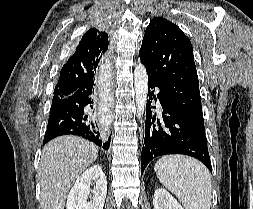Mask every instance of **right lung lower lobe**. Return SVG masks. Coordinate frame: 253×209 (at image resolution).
Returning <instances> with one entry per match:
<instances>
[{
  "label": "right lung lower lobe",
  "instance_id": "98d812e1",
  "mask_svg": "<svg viewBox=\"0 0 253 209\" xmlns=\"http://www.w3.org/2000/svg\"><path fill=\"white\" fill-rule=\"evenodd\" d=\"M94 92L95 80L71 94L53 97L43 145L58 136L76 135L109 149L111 136L85 109L93 108Z\"/></svg>",
  "mask_w": 253,
  "mask_h": 209
}]
</instances>
